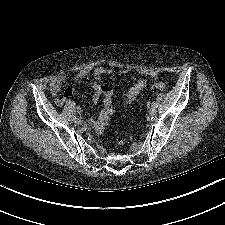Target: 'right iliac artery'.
<instances>
[{
	"instance_id": "obj_1",
	"label": "right iliac artery",
	"mask_w": 225,
	"mask_h": 225,
	"mask_svg": "<svg viewBox=\"0 0 225 225\" xmlns=\"http://www.w3.org/2000/svg\"><path fill=\"white\" fill-rule=\"evenodd\" d=\"M77 119L76 116H73V120Z\"/></svg>"
}]
</instances>
